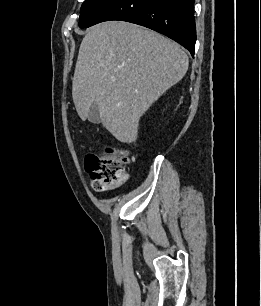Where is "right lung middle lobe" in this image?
<instances>
[{
    "mask_svg": "<svg viewBox=\"0 0 261 306\" xmlns=\"http://www.w3.org/2000/svg\"><path fill=\"white\" fill-rule=\"evenodd\" d=\"M114 0H85L80 10L79 27H87Z\"/></svg>",
    "mask_w": 261,
    "mask_h": 306,
    "instance_id": "right-lung-middle-lobe-1",
    "label": "right lung middle lobe"
}]
</instances>
